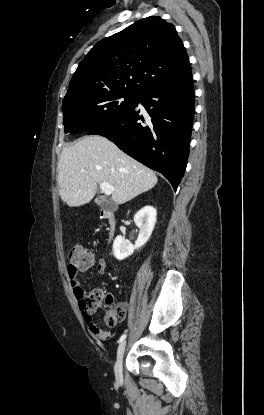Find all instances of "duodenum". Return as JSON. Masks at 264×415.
I'll use <instances>...</instances> for the list:
<instances>
[{"mask_svg":"<svg viewBox=\"0 0 264 415\" xmlns=\"http://www.w3.org/2000/svg\"><path fill=\"white\" fill-rule=\"evenodd\" d=\"M99 212L100 215L107 221L110 234L114 233L117 226L115 214L107 209H100Z\"/></svg>","mask_w":264,"mask_h":415,"instance_id":"1","label":"duodenum"}]
</instances>
